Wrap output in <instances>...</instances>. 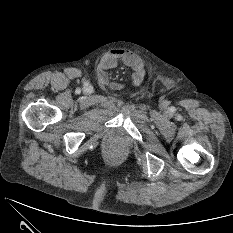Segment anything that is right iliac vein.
<instances>
[{
	"instance_id": "63e3f726",
	"label": "right iliac vein",
	"mask_w": 233,
	"mask_h": 233,
	"mask_svg": "<svg viewBox=\"0 0 233 233\" xmlns=\"http://www.w3.org/2000/svg\"><path fill=\"white\" fill-rule=\"evenodd\" d=\"M86 91H87V92H91V91H92L91 87H87V88H86Z\"/></svg>"
}]
</instances>
